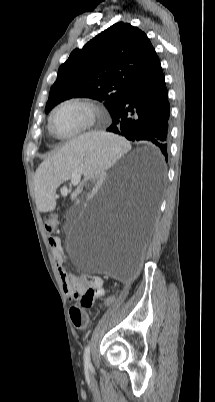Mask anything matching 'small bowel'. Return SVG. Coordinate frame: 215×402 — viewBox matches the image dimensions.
<instances>
[{"instance_id":"small-bowel-1","label":"small bowel","mask_w":215,"mask_h":402,"mask_svg":"<svg viewBox=\"0 0 215 402\" xmlns=\"http://www.w3.org/2000/svg\"><path fill=\"white\" fill-rule=\"evenodd\" d=\"M48 242L56 259L64 292L68 300H74L78 298L81 299L89 291H92V300L105 295V290L102 286V279L100 277H78L76 275L66 273V271L62 268V262L64 260V250L61 239L58 236L50 235L48 238Z\"/></svg>"}]
</instances>
